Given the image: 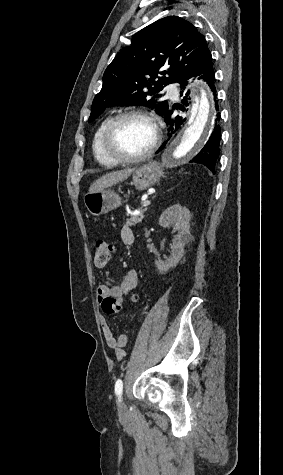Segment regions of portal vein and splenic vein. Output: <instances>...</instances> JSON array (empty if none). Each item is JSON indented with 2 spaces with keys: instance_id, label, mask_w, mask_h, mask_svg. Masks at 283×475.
Returning a JSON list of instances; mask_svg holds the SVG:
<instances>
[{
  "instance_id": "18ae733b",
  "label": "portal vein and splenic vein",
  "mask_w": 283,
  "mask_h": 475,
  "mask_svg": "<svg viewBox=\"0 0 283 475\" xmlns=\"http://www.w3.org/2000/svg\"><path fill=\"white\" fill-rule=\"evenodd\" d=\"M151 202L149 200H146V202H142V208H145V206H150Z\"/></svg>"
}]
</instances>
